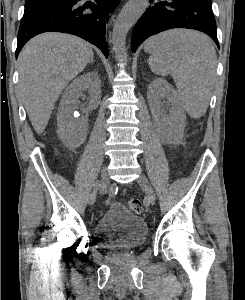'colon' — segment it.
<instances>
[{
    "label": "colon",
    "mask_w": 245,
    "mask_h": 300,
    "mask_svg": "<svg viewBox=\"0 0 245 300\" xmlns=\"http://www.w3.org/2000/svg\"><path fill=\"white\" fill-rule=\"evenodd\" d=\"M129 207L134 213H141L143 211V203L139 198H133L129 202Z\"/></svg>",
    "instance_id": "1"
}]
</instances>
